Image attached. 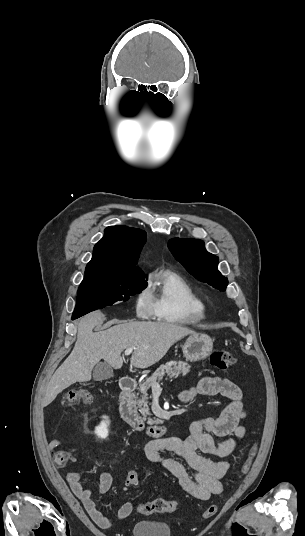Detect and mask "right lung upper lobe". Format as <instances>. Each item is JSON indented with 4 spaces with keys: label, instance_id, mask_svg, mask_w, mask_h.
I'll list each match as a JSON object with an SVG mask.
<instances>
[{
    "label": "right lung upper lobe",
    "instance_id": "1",
    "mask_svg": "<svg viewBox=\"0 0 305 536\" xmlns=\"http://www.w3.org/2000/svg\"><path fill=\"white\" fill-rule=\"evenodd\" d=\"M146 242V232L126 226H110L95 245L92 260L87 264L85 278H145L136 266Z\"/></svg>",
    "mask_w": 305,
    "mask_h": 536
}]
</instances>
